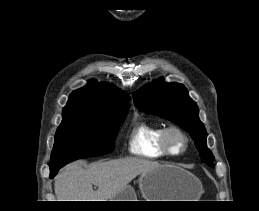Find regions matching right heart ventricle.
<instances>
[{
	"instance_id": "obj_1",
	"label": "right heart ventricle",
	"mask_w": 259,
	"mask_h": 211,
	"mask_svg": "<svg viewBox=\"0 0 259 211\" xmlns=\"http://www.w3.org/2000/svg\"><path fill=\"white\" fill-rule=\"evenodd\" d=\"M164 128L159 122L139 121L133 124L128 137V151L134 156L147 159L167 157L161 145Z\"/></svg>"
}]
</instances>
